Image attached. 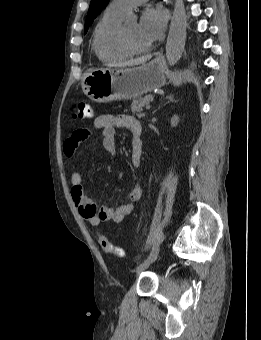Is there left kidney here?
<instances>
[{
	"instance_id": "1",
	"label": "left kidney",
	"mask_w": 261,
	"mask_h": 340,
	"mask_svg": "<svg viewBox=\"0 0 261 340\" xmlns=\"http://www.w3.org/2000/svg\"><path fill=\"white\" fill-rule=\"evenodd\" d=\"M179 122V117L177 115H174L172 118H171V126L172 127H175L177 126Z\"/></svg>"
}]
</instances>
